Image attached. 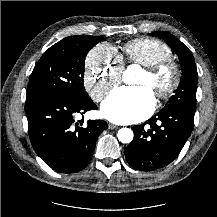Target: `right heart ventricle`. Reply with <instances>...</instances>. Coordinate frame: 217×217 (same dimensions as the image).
<instances>
[{"mask_svg":"<svg viewBox=\"0 0 217 217\" xmlns=\"http://www.w3.org/2000/svg\"><path fill=\"white\" fill-rule=\"evenodd\" d=\"M171 49L162 41L142 37L127 42L122 49L120 58L123 62L136 63L144 67L171 58Z\"/></svg>","mask_w":217,"mask_h":217,"instance_id":"1","label":"right heart ventricle"}]
</instances>
